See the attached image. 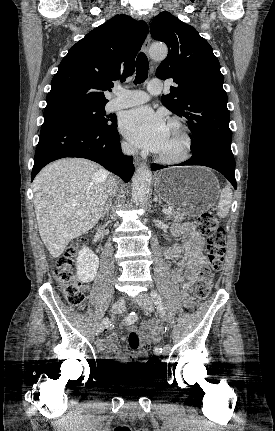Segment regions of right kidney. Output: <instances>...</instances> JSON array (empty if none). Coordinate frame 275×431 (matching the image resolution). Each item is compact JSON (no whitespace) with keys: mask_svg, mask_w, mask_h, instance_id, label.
<instances>
[{"mask_svg":"<svg viewBox=\"0 0 275 431\" xmlns=\"http://www.w3.org/2000/svg\"><path fill=\"white\" fill-rule=\"evenodd\" d=\"M99 268V258L89 249L83 247L77 257L76 271L80 281L89 283L96 277Z\"/></svg>","mask_w":275,"mask_h":431,"instance_id":"right-kidney-1","label":"right kidney"}]
</instances>
